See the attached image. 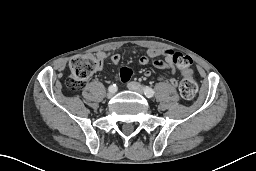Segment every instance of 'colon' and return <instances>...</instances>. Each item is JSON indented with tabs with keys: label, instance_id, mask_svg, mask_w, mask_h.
Returning <instances> with one entry per match:
<instances>
[{
	"label": "colon",
	"instance_id": "1",
	"mask_svg": "<svg viewBox=\"0 0 256 171\" xmlns=\"http://www.w3.org/2000/svg\"><path fill=\"white\" fill-rule=\"evenodd\" d=\"M178 68L183 72V78L179 84V92L183 99L191 101L197 94V83L192 76L193 61L187 55L178 54L175 57ZM102 60L95 54L79 55L70 61L71 75L67 80V86L71 90L83 87L90 75L102 67ZM134 74L133 69L124 67L119 76L122 82L129 81Z\"/></svg>",
	"mask_w": 256,
	"mask_h": 171
}]
</instances>
